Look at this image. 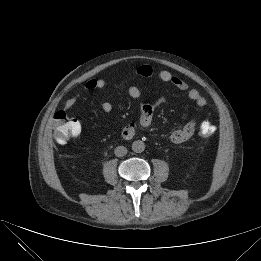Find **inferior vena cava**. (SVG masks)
I'll return each instance as SVG.
<instances>
[{"instance_id":"inferior-vena-cava-1","label":"inferior vena cava","mask_w":261,"mask_h":261,"mask_svg":"<svg viewBox=\"0 0 261 261\" xmlns=\"http://www.w3.org/2000/svg\"><path fill=\"white\" fill-rule=\"evenodd\" d=\"M114 154H115L117 157H123L124 155L127 154V149H126V147H124V146H118V147L115 148Z\"/></svg>"}]
</instances>
